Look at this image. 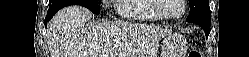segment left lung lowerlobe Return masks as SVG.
Wrapping results in <instances>:
<instances>
[{"label":"left lung lower lobe","instance_id":"left-lung-lower-lobe-1","mask_svg":"<svg viewBox=\"0 0 249 57\" xmlns=\"http://www.w3.org/2000/svg\"><path fill=\"white\" fill-rule=\"evenodd\" d=\"M195 23H197L198 25H200L204 31H205V35L206 37H208L209 33H210V26H211V22H204V21H195Z\"/></svg>","mask_w":249,"mask_h":57}]
</instances>
